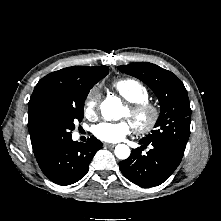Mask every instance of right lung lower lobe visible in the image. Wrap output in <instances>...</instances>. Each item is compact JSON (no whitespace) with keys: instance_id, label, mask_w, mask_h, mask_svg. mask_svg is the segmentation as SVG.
<instances>
[{"instance_id":"1","label":"right lung lower lobe","mask_w":221,"mask_h":221,"mask_svg":"<svg viewBox=\"0 0 221 221\" xmlns=\"http://www.w3.org/2000/svg\"><path fill=\"white\" fill-rule=\"evenodd\" d=\"M101 148V141L95 137L79 143L70 136L47 144L35 157L49 180L59 185H70L88 172L93 156Z\"/></svg>"}]
</instances>
